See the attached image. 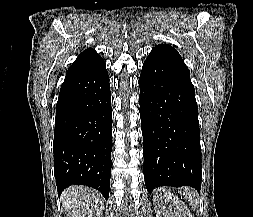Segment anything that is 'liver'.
<instances>
[{
    "instance_id": "6515ba94",
    "label": "liver",
    "mask_w": 253,
    "mask_h": 217,
    "mask_svg": "<svg viewBox=\"0 0 253 217\" xmlns=\"http://www.w3.org/2000/svg\"><path fill=\"white\" fill-rule=\"evenodd\" d=\"M61 201L69 217H101L102 195L84 186H71L63 191Z\"/></svg>"
}]
</instances>
